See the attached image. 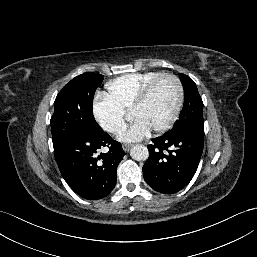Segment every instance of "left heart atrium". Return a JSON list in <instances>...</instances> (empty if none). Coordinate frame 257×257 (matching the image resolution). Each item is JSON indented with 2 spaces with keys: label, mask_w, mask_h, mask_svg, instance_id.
<instances>
[{
  "label": "left heart atrium",
  "mask_w": 257,
  "mask_h": 257,
  "mask_svg": "<svg viewBox=\"0 0 257 257\" xmlns=\"http://www.w3.org/2000/svg\"><path fill=\"white\" fill-rule=\"evenodd\" d=\"M151 128L142 120L136 119L129 127L120 134L119 139L126 143L137 142L147 137Z\"/></svg>",
  "instance_id": "obj_1"
}]
</instances>
